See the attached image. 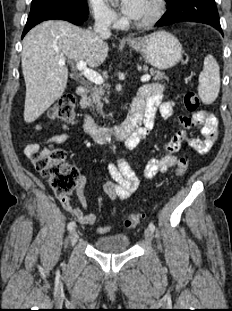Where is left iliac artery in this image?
<instances>
[{
  "mask_svg": "<svg viewBox=\"0 0 232 311\" xmlns=\"http://www.w3.org/2000/svg\"><path fill=\"white\" fill-rule=\"evenodd\" d=\"M149 228H150L152 231H154V230H155V225H154L153 223H150V224H149Z\"/></svg>",
  "mask_w": 232,
  "mask_h": 311,
  "instance_id": "1",
  "label": "left iliac artery"
}]
</instances>
